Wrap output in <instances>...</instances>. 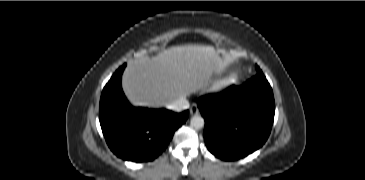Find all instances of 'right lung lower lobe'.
<instances>
[{
    "mask_svg": "<svg viewBox=\"0 0 365 180\" xmlns=\"http://www.w3.org/2000/svg\"><path fill=\"white\" fill-rule=\"evenodd\" d=\"M125 66L113 74L102 91L100 125L115 155L133 162L152 161L165 150L175 130L187 120L189 111L174 113L131 106L121 87Z\"/></svg>",
    "mask_w": 365,
    "mask_h": 180,
    "instance_id": "right-lung-lower-lobe-1",
    "label": "right lung lower lobe"
}]
</instances>
